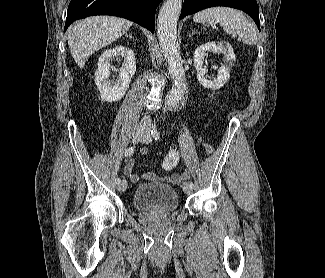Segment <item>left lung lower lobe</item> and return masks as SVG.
<instances>
[{"mask_svg":"<svg viewBox=\"0 0 325 278\" xmlns=\"http://www.w3.org/2000/svg\"><path fill=\"white\" fill-rule=\"evenodd\" d=\"M214 6H227L246 12L255 21L260 31L259 7L256 0H184L180 19Z\"/></svg>","mask_w":325,"mask_h":278,"instance_id":"1","label":"left lung lower lobe"}]
</instances>
